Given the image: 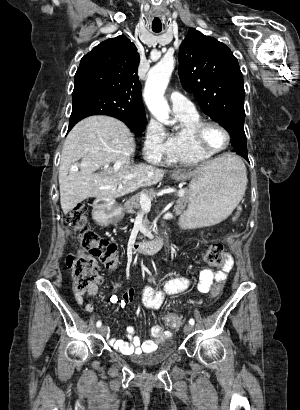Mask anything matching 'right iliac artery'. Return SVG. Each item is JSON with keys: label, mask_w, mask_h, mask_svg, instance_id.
<instances>
[{"label": "right iliac artery", "mask_w": 300, "mask_h": 410, "mask_svg": "<svg viewBox=\"0 0 300 410\" xmlns=\"http://www.w3.org/2000/svg\"><path fill=\"white\" fill-rule=\"evenodd\" d=\"M102 325L101 321H97L96 326L100 327Z\"/></svg>", "instance_id": "1"}]
</instances>
